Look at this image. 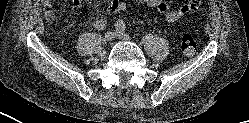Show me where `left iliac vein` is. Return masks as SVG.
Here are the masks:
<instances>
[{
	"label": "left iliac vein",
	"instance_id": "obj_1",
	"mask_svg": "<svg viewBox=\"0 0 249 123\" xmlns=\"http://www.w3.org/2000/svg\"><path fill=\"white\" fill-rule=\"evenodd\" d=\"M115 36L121 40L129 41L130 37L120 30H116Z\"/></svg>",
	"mask_w": 249,
	"mask_h": 123
}]
</instances>
